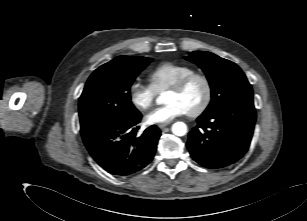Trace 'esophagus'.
I'll return each instance as SVG.
<instances>
[{
    "instance_id": "obj_1",
    "label": "esophagus",
    "mask_w": 307,
    "mask_h": 221,
    "mask_svg": "<svg viewBox=\"0 0 307 221\" xmlns=\"http://www.w3.org/2000/svg\"><path fill=\"white\" fill-rule=\"evenodd\" d=\"M169 124H170V122L164 123V124H159L158 127H159L160 129H164V128H166Z\"/></svg>"
}]
</instances>
